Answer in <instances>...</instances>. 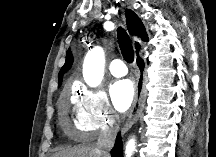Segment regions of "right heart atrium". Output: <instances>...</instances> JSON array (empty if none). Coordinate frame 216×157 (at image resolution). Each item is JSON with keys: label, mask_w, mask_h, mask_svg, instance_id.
Returning <instances> with one entry per match:
<instances>
[{"label": "right heart atrium", "mask_w": 216, "mask_h": 157, "mask_svg": "<svg viewBox=\"0 0 216 157\" xmlns=\"http://www.w3.org/2000/svg\"><path fill=\"white\" fill-rule=\"evenodd\" d=\"M74 110V129L81 136L106 134L115 128L117 116L101 90L80 88Z\"/></svg>", "instance_id": "obj_1"}]
</instances>
